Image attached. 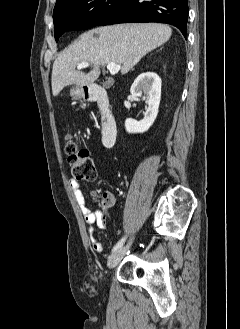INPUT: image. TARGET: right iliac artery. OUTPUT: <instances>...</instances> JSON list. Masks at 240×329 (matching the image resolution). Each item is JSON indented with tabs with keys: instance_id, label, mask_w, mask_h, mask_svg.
Wrapping results in <instances>:
<instances>
[{
	"instance_id": "82829eb1",
	"label": "right iliac artery",
	"mask_w": 240,
	"mask_h": 329,
	"mask_svg": "<svg viewBox=\"0 0 240 329\" xmlns=\"http://www.w3.org/2000/svg\"><path fill=\"white\" fill-rule=\"evenodd\" d=\"M126 237H123L119 242H117V244L113 247L112 252L117 251L119 248H121L123 246V244L125 243Z\"/></svg>"
}]
</instances>
